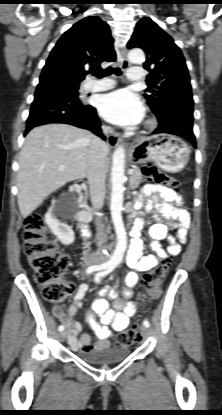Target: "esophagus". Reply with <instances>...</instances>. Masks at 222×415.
<instances>
[{
    "label": "esophagus",
    "instance_id": "1",
    "mask_svg": "<svg viewBox=\"0 0 222 415\" xmlns=\"http://www.w3.org/2000/svg\"><path fill=\"white\" fill-rule=\"evenodd\" d=\"M120 56L122 60V68L127 69L130 65V62L127 58V50L126 48H122L120 50ZM121 141L119 134H110L108 135V142L112 146H117L119 142Z\"/></svg>",
    "mask_w": 222,
    "mask_h": 415
}]
</instances>
